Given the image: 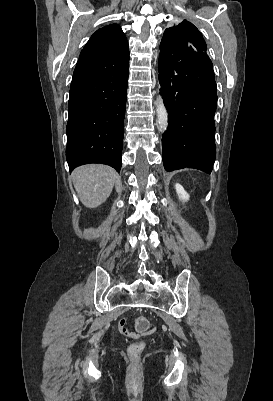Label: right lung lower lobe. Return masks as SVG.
<instances>
[{"label":"right lung lower lobe","mask_w":273,"mask_h":401,"mask_svg":"<svg viewBox=\"0 0 273 401\" xmlns=\"http://www.w3.org/2000/svg\"><path fill=\"white\" fill-rule=\"evenodd\" d=\"M129 58L71 85L66 160L70 171L88 163L121 169Z\"/></svg>","instance_id":"obj_1"}]
</instances>
